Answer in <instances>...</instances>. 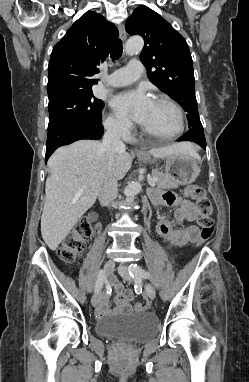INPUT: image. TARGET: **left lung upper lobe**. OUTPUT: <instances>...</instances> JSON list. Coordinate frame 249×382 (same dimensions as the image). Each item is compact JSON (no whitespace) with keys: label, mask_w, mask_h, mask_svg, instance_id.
<instances>
[{"label":"left lung upper lobe","mask_w":249,"mask_h":382,"mask_svg":"<svg viewBox=\"0 0 249 382\" xmlns=\"http://www.w3.org/2000/svg\"><path fill=\"white\" fill-rule=\"evenodd\" d=\"M126 31L144 39L140 60L149 80L182 106L189 130H203L195 96L193 61L182 35L146 6L133 11L126 21Z\"/></svg>","instance_id":"left-lung-upper-lobe-1"}]
</instances>
